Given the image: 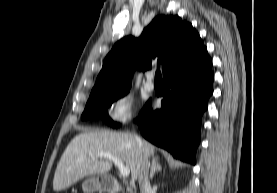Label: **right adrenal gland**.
<instances>
[{
    "mask_svg": "<svg viewBox=\"0 0 277 193\" xmlns=\"http://www.w3.org/2000/svg\"><path fill=\"white\" fill-rule=\"evenodd\" d=\"M160 171H161V165L159 163V159L153 158L152 164H151V170H150V180L153 179V176L156 172H160Z\"/></svg>",
    "mask_w": 277,
    "mask_h": 193,
    "instance_id": "1",
    "label": "right adrenal gland"
}]
</instances>
